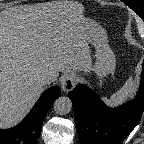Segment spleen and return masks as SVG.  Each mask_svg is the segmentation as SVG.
<instances>
[{
  "mask_svg": "<svg viewBox=\"0 0 144 144\" xmlns=\"http://www.w3.org/2000/svg\"><path fill=\"white\" fill-rule=\"evenodd\" d=\"M136 89L137 83L132 77H129L119 91L114 93L109 99L107 97H103L102 100L108 106H117L118 104L123 103L126 99L130 98L135 93Z\"/></svg>",
  "mask_w": 144,
  "mask_h": 144,
  "instance_id": "spleen-1",
  "label": "spleen"
}]
</instances>
